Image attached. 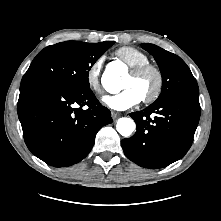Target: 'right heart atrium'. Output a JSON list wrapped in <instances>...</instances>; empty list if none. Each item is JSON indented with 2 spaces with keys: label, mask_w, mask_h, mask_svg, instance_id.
<instances>
[{
  "label": "right heart atrium",
  "mask_w": 221,
  "mask_h": 221,
  "mask_svg": "<svg viewBox=\"0 0 221 221\" xmlns=\"http://www.w3.org/2000/svg\"><path fill=\"white\" fill-rule=\"evenodd\" d=\"M103 63L104 57L99 56L88 66L85 72V78L89 88L97 94L102 92L100 76Z\"/></svg>",
  "instance_id": "1"
}]
</instances>
